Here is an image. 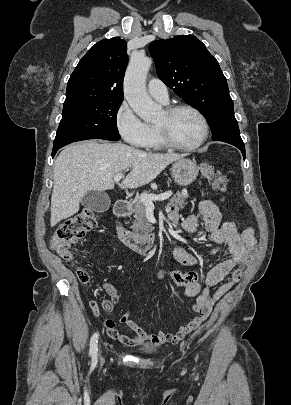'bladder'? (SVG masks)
Instances as JSON below:
<instances>
[{"label":"bladder","instance_id":"1","mask_svg":"<svg viewBox=\"0 0 291 405\" xmlns=\"http://www.w3.org/2000/svg\"><path fill=\"white\" fill-rule=\"evenodd\" d=\"M141 350H142L143 352H145V353H153V352H155L156 347H155V345H153V344H151V343H147V344H144V345L141 347Z\"/></svg>","mask_w":291,"mask_h":405}]
</instances>
